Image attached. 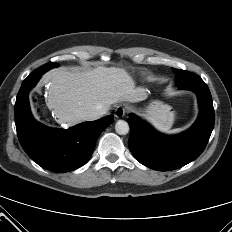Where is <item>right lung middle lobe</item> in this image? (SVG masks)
Wrapping results in <instances>:
<instances>
[{
	"instance_id": "obj_1",
	"label": "right lung middle lobe",
	"mask_w": 232,
	"mask_h": 232,
	"mask_svg": "<svg viewBox=\"0 0 232 232\" xmlns=\"http://www.w3.org/2000/svg\"><path fill=\"white\" fill-rule=\"evenodd\" d=\"M58 64L55 62H49L41 67H39L38 69H36L33 73H31L24 81H31L33 79H38L41 77V75L43 73H45L47 70L53 68V67H57Z\"/></svg>"
}]
</instances>
